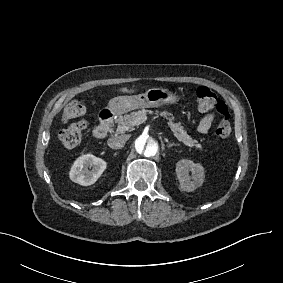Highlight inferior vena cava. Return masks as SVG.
Here are the masks:
<instances>
[{
	"instance_id": "obj_1",
	"label": "inferior vena cava",
	"mask_w": 283,
	"mask_h": 283,
	"mask_svg": "<svg viewBox=\"0 0 283 283\" xmlns=\"http://www.w3.org/2000/svg\"><path fill=\"white\" fill-rule=\"evenodd\" d=\"M125 143L124 138L117 136V137H112L108 139V145L112 149H119L123 147Z\"/></svg>"
}]
</instances>
